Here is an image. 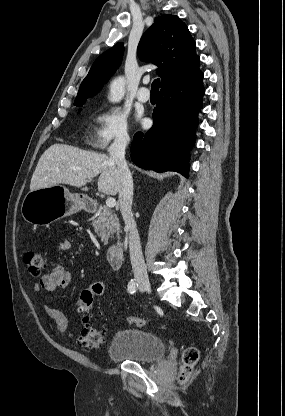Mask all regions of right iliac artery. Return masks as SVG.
Masks as SVG:
<instances>
[{"label": "right iliac artery", "instance_id": "obj_1", "mask_svg": "<svg viewBox=\"0 0 285 416\" xmlns=\"http://www.w3.org/2000/svg\"><path fill=\"white\" fill-rule=\"evenodd\" d=\"M138 288V284L136 283V281L134 279H131L129 284H128V292L130 294H134L136 292Z\"/></svg>", "mask_w": 285, "mask_h": 416}]
</instances>
